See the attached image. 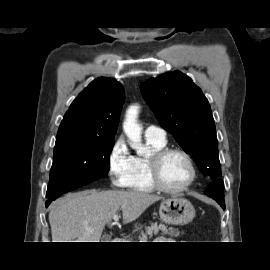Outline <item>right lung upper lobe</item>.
Masks as SVG:
<instances>
[{"mask_svg":"<svg viewBox=\"0 0 270 270\" xmlns=\"http://www.w3.org/2000/svg\"><path fill=\"white\" fill-rule=\"evenodd\" d=\"M124 98L121 83L112 78L95 79L70 105L57 137L114 139Z\"/></svg>","mask_w":270,"mask_h":270,"instance_id":"1","label":"right lung upper lobe"}]
</instances>
